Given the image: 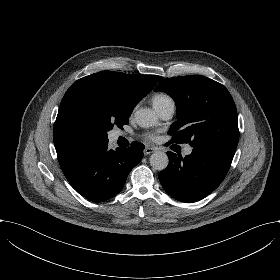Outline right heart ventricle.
I'll return each instance as SVG.
<instances>
[{
    "instance_id": "obj_1",
    "label": "right heart ventricle",
    "mask_w": 280,
    "mask_h": 280,
    "mask_svg": "<svg viewBox=\"0 0 280 280\" xmlns=\"http://www.w3.org/2000/svg\"><path fill=\"white\" fill-rule=\"evenodd\" d=\"M171 100L172 99L168 95L161 93V94H156L153 97L152 102H153V105L155 106V108L157 109L160 105H162L168 101H171Z\"/></svg>"
}]
</instances>
